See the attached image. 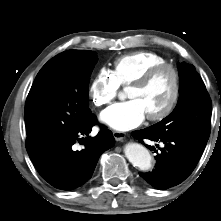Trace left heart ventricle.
I'll return each mask as SVG.
<instances>
[{
    "label": "left heart ventricle",
    "instance_id": "obj_1",
    "mask_svg": "<svg viewBox=\"0 0 221 221\" xmlns=\"http://www.w3.org/2000/svg\"><path fill=\"white\" fill-rule=\"evenodd\" d=\"M173 91V76L170 71H163L144 87H129L127 97L138 100L146 115L160 112L168 104Z\"/></svg>",
    "mask_w": 221,
    "mask_h": 221
}]
</instances>
